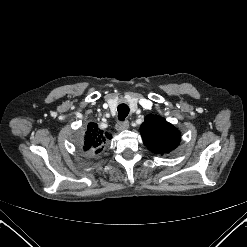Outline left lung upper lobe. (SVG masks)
I'll list each match as a JSON object with an SVG mask.
<instances>
[{
  "label": "left lung upper lobe",
  "mask_w": 247,
  "mask_h": 247,
  "mask_svg": "<svg viewBox=\"0 0 247 247\" xmlns=\"http://www.w3.org/2000/svg\"><path fill=\"white\" fill-rule=\"evenodd\" d=\"M140 131L144 144L155 154L169 153L180 142V132L159 116H146Z\"/></svg>",
  "instance_id": "1"
}]
</instances>
